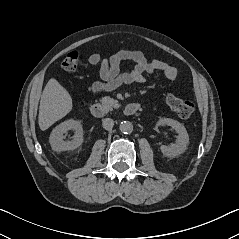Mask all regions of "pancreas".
<instances>
[{
  "mask_svg": "<svg viewBox=\"0 0 239 239\" xmlns=\"http://www.w3.org/2000/svg\"><path fill=\"white\" fill-rule=\"evenodd\" d=\"M101 102L108 110H112L113 108H119L120 107V103L117 100H115L113 98H110L108 96L103 97L101 99Z\"/></svg>",
  "mask_w": 239,
  "mask_h": 239,
  "instance_id": "pancreas-1",
  "label": "pancreas"
}]
</instances>
